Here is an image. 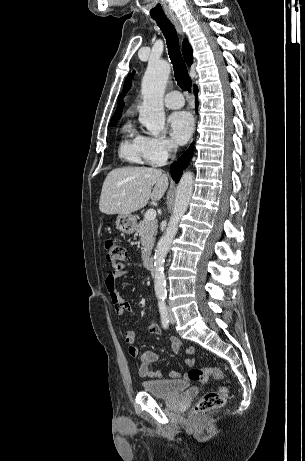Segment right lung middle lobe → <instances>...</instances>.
<instances>
[{
    "mask_svg": "<svg viewBox=\"0 0 305 461\" xmlns=\"http://www.w3.org/2000/svg\"><path fill=\"white\" fill-rule=\"evenodd\" d=\"M115 123H116V121H112V122L110 123V125L113 126V125H115Z\"/></svg>",
    "mask_w": 305,
    "mask_h": 461,
    "instance_id": "dd1d6c3e",
    "label": "right lung middle lobe"
}]
</instances>
